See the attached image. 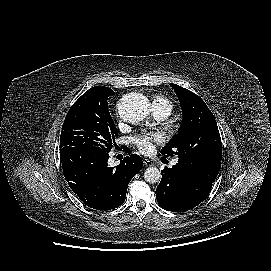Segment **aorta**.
<instances>
[{
    "mask_svg": "<svg viewBox=\"0 0 271 271\" xmlns=\"http://www.w3.org/2000/svg\"><path fill=\"white\" fill-rule=\"evenodd\" d=\"M121 104L120 114L127 122H140L149 114V101L142 94H128L122 99ZM144 179L151 184L157 183L161 180V172L156 167H149L144 172Z\"/></svg>",
    "mask_w": 271,
    "mask_h": 271,
    "instance_id": "obj_1",
    "label": "aorta"
}]
</instances>
